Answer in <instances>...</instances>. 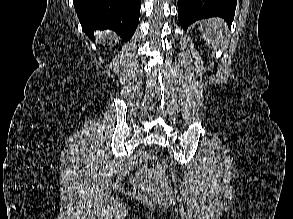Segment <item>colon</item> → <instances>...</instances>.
I'll return each mask as SVG.
<instances>
[{"mask_svg": "<svg viewBox=\"0 0 293 219\" xmlns=\"http://www.w3.org/2000/svg\"><path fill=\"white\" fill-rule=\"evenodd\" d=\"M140 166L146 171H164L168 163L165 160H160L158 157L144 153L140 157ZM150 193L152 189L148 184L142 181H138L134 185V195L137 198H145Z\"/></svg>", "mask_w": 293, "mask_h": 219, "instance_id": "5ec220e1", "label": "colon"}]
</instances>
